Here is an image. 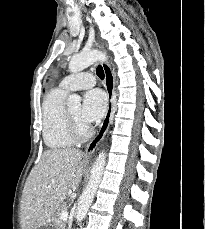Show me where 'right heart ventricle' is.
I'll return each instance as SVG.
<instances>
[{"instance_id":"1","label":"right heart ventricle","mask_w":205,"mask_h":229,"mask_svg":"<svg viewBox=\"0 0 205 229\" xmlns=\"http://www.w3.org/2000/svg\"><path fill=\"white\" fill-rule=\"evenodd\" d=\"M67 94L64 90L56 88L45 96L42 104L43 139L46 146L53 150L68 148L75 142L67 127Z\"/></svg>"}]
</instances>
